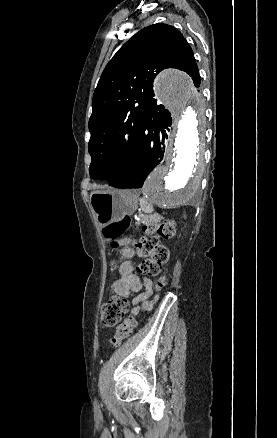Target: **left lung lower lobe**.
Returning a JSON list of instances; mask_svg holds the SVG:
<instances>
[{
  "mask_svg": "<svg viewBox=\"0 0 277 438\" xmlns=\"http://www.w3.org/2000/svg\"><path fill=\"white\" fill-rule=\"evenodd\" d=\"M170 113L152 99L146 107L142 128L135 153L124 173L110 186L117 188H140L147 175L164 156L165 138L171 126Z\"/></svg>",
  "mask_w": 277,
  "mask_h": 438,
  "instance_id": "obj_1",
  "label": "left lung lower lobe"
}]
</instances>
